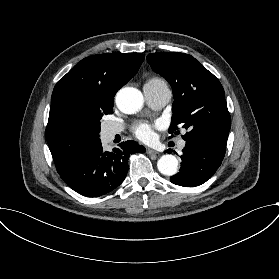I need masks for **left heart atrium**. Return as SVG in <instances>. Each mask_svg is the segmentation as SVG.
<instances>
[{
	"label": "left heart atrium",
	"mask_w": 279,
	"mask_h": 279,
	"mask_svg": "<svg viewBox=\"0 0 279 279\" xmlns=\"http://www.w3.org/2000/svg\"><path fill=\"white\" fill-rule=\"evenodd\" d=\"M134 134L137 138H139L142 141H148L152 138L153 135V128L150 124L145 122H140L135 125Z\"/></svg>",
	"instance_id": "obj_1"
}]
</instances>
